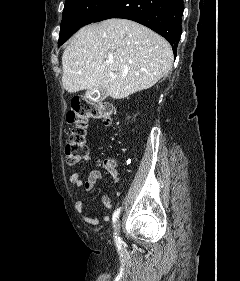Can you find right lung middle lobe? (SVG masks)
<instances>
[{
  "label": "right lung middle lobe",
  "mask_w": 240,
  "mask_h": 281,
  "mask_svg": "<svg viewBox=\"0 0 240 281\" xmlns=\"http://www.w3.org/2000/svg\"><path fill=\"white\" fill-rule=\"evenodd\" d=\"M116 0H66L59 46L84 25L90 24Z\"/></svg>",
  "instance_id": "dd1d6c3e"
}]
</instances>
